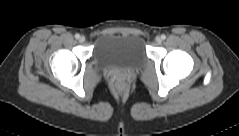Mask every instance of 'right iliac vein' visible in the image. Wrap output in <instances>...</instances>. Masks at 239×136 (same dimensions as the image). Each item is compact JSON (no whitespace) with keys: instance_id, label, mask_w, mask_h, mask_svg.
Segmentation results:
<instances>
[{"instance_id":"right-iliac-vein-1","label":"right iliac vein","mask_w":239,"mask_h":136,"mask_svg":"<svg viewBox=\"0 0 239 136\" xmlns=\"http://www.w3.org/2000/svg\"><path fill=\"white\" fill-rule=\"evenodd\" d=\"M85 40H86V39H85V37H84V36H80V37H79V42H80V43H84V42H85Z\"/></svg>"}]
</instances>
